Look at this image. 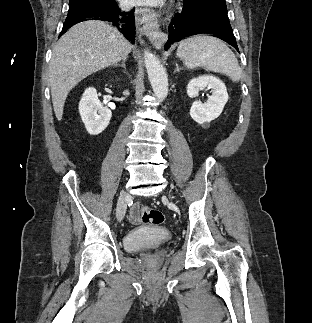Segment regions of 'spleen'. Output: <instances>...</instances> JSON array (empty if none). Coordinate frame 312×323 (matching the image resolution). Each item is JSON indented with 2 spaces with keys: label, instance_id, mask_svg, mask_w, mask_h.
<instances>
[{
  "label": "spleen",
  "instance_id": "3e777b00",
  "mask_svg": "<svg viewBox=\"0 0 312 323\" xmlns=\"http://www.w3.org/2000/svg\"><path fill=\"white\" fill-rule=\"evenodd\" d=\"M177 56L183 60L186 68H205L209 72L226 74L232 82H239L241 70L238 60L232 50L219 38L206 34L191 36L180 42Z\"/></svg>",
  "mask_w": 312,
  "mask_h": 323
}]
</instances>
